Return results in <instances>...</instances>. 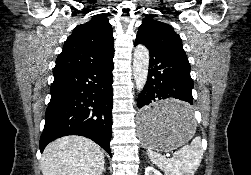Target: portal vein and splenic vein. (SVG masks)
Wrapping results in <instances>:
<instances>
[{
	"label": "portal vein and splenic vein",
	"instance_id": "1",
	"mask_svg": "<svg viewBox=\"0 0 251 175\" xmlns=\"http://www.w3.org/2000/svg\"><path fill=\"white\" fill-rule=\"evenodd\" d=\"M173 155H174V152H173V151H167V152L164 154V157H165V158H171Z\"/></svg>",
	"mask_w": 251,
	"mask_h": 175
}]
</instances>
